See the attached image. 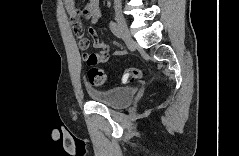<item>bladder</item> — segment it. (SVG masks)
Listing matches in <instances>:
<instances>
[{
  "mask_svg": "<svg viewBox=\"0 0 239 156\" xmlns=\"http://www.w3.org/2000/svg\"><path fill=\"white\" fill-rule=\"evenodd\" d=\"M87 93L95 102H99L112 108H123L131 104L136 90L132 86L116 87L105 90L87 88Z\"/></svg>",
  "mask_w": 239,
  "mask_h": 156,
  "instance_id": "31cf9c89",
  "label": "bladder"
}]
</instances>
